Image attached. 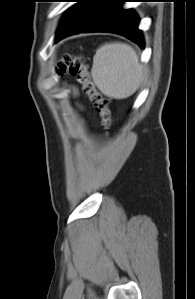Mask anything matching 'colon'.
I'll return each mask as SVG.
<instances>
[{"label": "colon", "instance_id": "1", "mask_svg": "<svg viewBox=\"0 0 195 299\" xmlns=\"http://www.w3.org/2000/svg\"><path fill=\"white\" fill-rule=\"evenodd\" d=\"M56 71L59 75L69 73L76 78L84 94L101 116L103 124L108 125L112 116L111 101L97 89L85 58L82 55L65 54Z\"/></svg>", "mask_w": 195, "mask_h": 299}]
</instances>
